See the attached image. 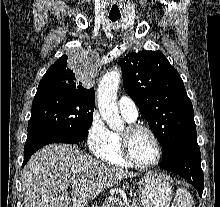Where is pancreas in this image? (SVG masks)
<instances>
[{"mask_svg": "<svg viewBox=\"0 0 220 207\" xmlns=\"http://www.w3.org/2000/svg\"><path fill=\"white\" fill-rule=\"evenodd\" d=\"M99 207H140L136 201L129 200L127 202H122L114 196H109L107 200Z\"/></svg>", "mask_w": 220, "mask_h": 207, "instance_id": "cf45deb5", "label": "pancreas"}]
</instances>
